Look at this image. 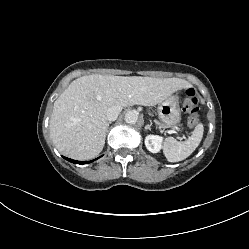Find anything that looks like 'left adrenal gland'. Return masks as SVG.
Instances as JSON below:
<instances>
[{
  "label": "left adrenal gland",
  "mask_w": 249,
  "mask_h": 249,
  "mask_svg": "<svg viewBox=\"0 0 249 249\" xmlns=\"http://www.w3.org/2000/svg\"><path fill=\"white\" fill-rule=\"evenodd\" d=\"M145 130H151V124H147V125L145 126Z\"/></svg>",
  "instance_id": "left-adrenal-gland-1"
}]
</instances>
